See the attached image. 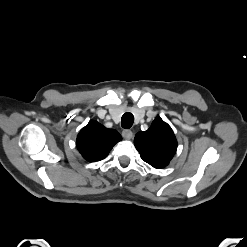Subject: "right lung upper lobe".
Here are the masks:
<instances>
[{
	"label": "right lung upper lobe",
	"instance_id": "obj_1",
	"mask_svg": "<svg viewBox=\"0 0 247 247\" xmlns=\"http://www.w3.org/2000/svg\"><path fill=\"white\" fill-rule=\"evenodd\" d=\"M122 140L114 129H107L97 121H90L77 136L76 146L84 159L95 162L104 159L113 146Z\"/></svg>",
	"mask_w": 247,
	"mask_h": 247
}]
</instances>
